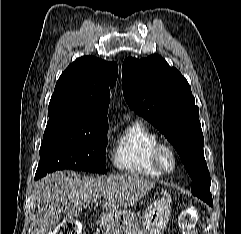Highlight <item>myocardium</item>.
Listing matches in <instances>:
<instances>
[{
    "mask_svg": "<svg viewBox=\"0 0 241 234\" xmlns=\"http://www.w3.org/2000/svg\"><path fill=\"white\" fill-rule=\"evenodd\" d=\"M154 166L163 174L172 173L177 165V155L172 146L166 143H157L151 153Z\"/></svg>",
    "mask_w": 241,
    "mask_h": 234,
    "instance_id": "myocardium-1",
    "label": "myocardium"
}]
</instances>
